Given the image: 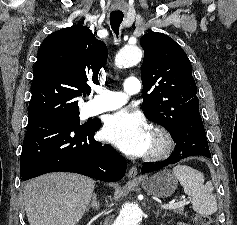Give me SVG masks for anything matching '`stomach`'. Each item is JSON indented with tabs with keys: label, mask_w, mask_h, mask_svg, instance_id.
Masks as SVG:
<instances>
[{
	"label": "stomach",
	"mask_w": 237,
	"mask_h": 225,
	"mask_svg": "<svg viewBox=\"0 0 237 225\" xmlns=\"http://www.w3.org/2000/svg\"><path fill=\"white\" fill-rule=\"evenodd\" d=\"M141 184L148 194L166 198L175 192L177 178L169 170H162L150 178L142 179Z\"/></svg>",
	"instance_id": "1"
}]
</instances>
